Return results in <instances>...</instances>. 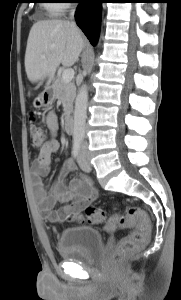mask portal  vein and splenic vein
Masks as SVG:
<instances>
[{
    "label": "portal vein and splenic vein",
    "instance_id": "18ae733b",
    "mask_svg": "<svg viewBox=\"0 0 181 300\" xmlns=\"http://www.w3.org/2000/svg\"><path fill=\"white\" fill-rule=\"evenodd\" d=\"M74 77V70L73 69H66L62 73V81L64 83H70Z\"/></svg>",
    "mask_w": 181,
    "mask_h": 300
}]
</instances>
